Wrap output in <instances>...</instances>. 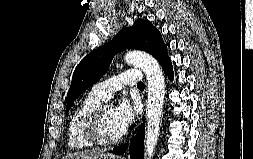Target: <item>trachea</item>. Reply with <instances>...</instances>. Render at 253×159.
Segmentation results:
<instances>
[{
  "label": "trachea",
  "instance_id": "trachea-1",
  "mask_svg": "<svg viewBox=\"0 0 253 159\" xmlns=\"http://www.w3.org/2000/svg\"><path fill=\"white\" fill-rule=\"evenodd\" d=\"M137 86H138V88H144V83L140 82Z\"/></svg>",
  "mask_w": 253,
  "mask_h": 159
}]
</instances>
